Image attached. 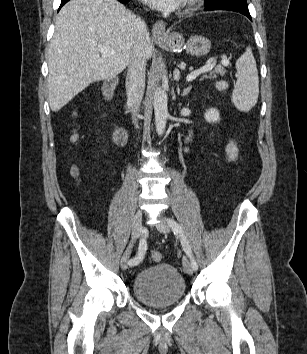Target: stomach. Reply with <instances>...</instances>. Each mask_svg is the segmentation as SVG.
I'll list each match as a JSON object with an SVG mask.
<instances>
[{
	"label": "stomach",
	"mask_w": 307,
	"mask_h": 354,
	"mask_svg": "<svg viewBox=\"0 0 307 354\" xmlns=\"http://www.w3.org/2000/svg\"><path fill=\"white\" fill-rule=\"evenodd\" d=\"M157 43L164 49L175 52L185 47L186 51L196 57L207 55L211 49V41L202 35H192L186 42L184 37L173 32L164 39H157Z\"/></svg>",
	"instance_id": "0dacf381"
}]
</instances>
